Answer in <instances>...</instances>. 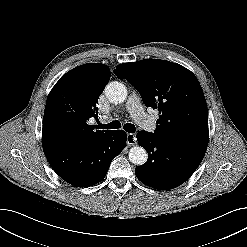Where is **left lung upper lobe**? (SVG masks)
<instances>
[{
	"label": "left lung upper lobe",
	"instance_id": "5c2ea615",
	"mask_svg": "<svg viewBox=\"0 0 247 247\" xmlns=\"http://www.w3.org/2000/svg\"><path fill=\"white\" fill-rule=\"evenodd\" d=\"M114 73L139 91L144 104L159 111L157 138L206 151L208 110L196 76L166 60L145 59L119 64Z\"/></svg>",
	"mask_w": 247,
	"mask_h": 247
}]
</instances>
